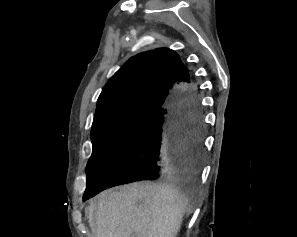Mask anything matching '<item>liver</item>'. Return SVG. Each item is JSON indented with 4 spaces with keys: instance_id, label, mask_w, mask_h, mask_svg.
Instances as JSON below:
<instances>
[{
    "instance_id": "6515ba94",
    "label": "liver",
    "mask_w": 297,
    "mask_h": 237,
    "mask_svg": "<svg viewBox=\"0 0 297 237\" xmlns=\"http://www.w3.org/2000/svg\"><path fill=\"white\" fill-rule=\"evenodd\" d=\"M192 210L174 184L137 182L102 192L86 213L92 237H176Z\"/></svg>"
}]
</instances>
